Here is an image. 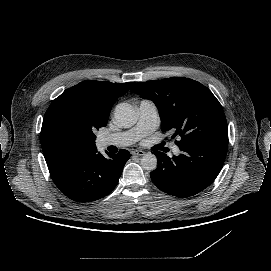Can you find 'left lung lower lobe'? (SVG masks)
I'll use <instances>...</instances> for the list:
<instances>
[{"label": "left lung lower lobe", "mask_w": 271, "mask_h": 271, "mask_svg": "<svg viewBox=\"0 0 271 271\" xmlns=\"http://www.w3.org/2000/svg\"><path fill=\"white\" fill-rule=\"evenodd\" d=\"M182 154L168 157L153 152L158 167L151 172L153 183L163 192L186 198L207 188L219 174L227 153V143L204 141L196 146H179Z\"/></svg>", "instance_id": "1"}]
</instances>
